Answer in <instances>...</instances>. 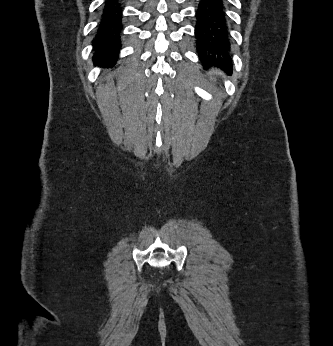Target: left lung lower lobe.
Segmentation results:
<instances>
[{"label":"left lung lower lobe","mask_w":333,"mask_h":346,"mask_svg":"<svg viewBox=\"0 0 333 346\" xmlns=\"http://www.w3.org/2000/svg\"><path fill=\"white\" fill-rule=\"evenodd\" d=\"M196 48L203 63L232 71L224 0H200L196 11Z\"/></svg>","instance_id":"1"}]
</instances>
